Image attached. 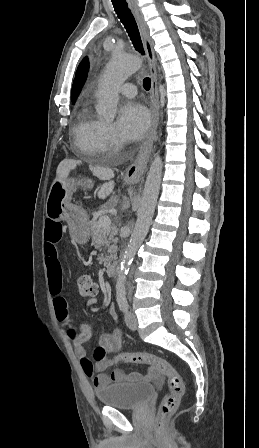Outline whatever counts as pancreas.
<instances>
[{
  "label": "pancreas",
  "instance_id": "obj_1",
  "mask_svg": "<svg viewBox=\"0 0 259 448\" xmlns=\"http://www.w3.org/2000/svg\"><path fill=\"white\" fill-rule=\"evenodd\" d=\"M90 226L92 228V242L95 244L97 250H100L101 252L105 246L107 252L110 254V256H106V258H104V254H100L97 258V260H100L101 264L104 262V266L108 268L110 262L117 260L118 248L116 246L117 238H115V236H117V230L116 228H106V230H103L96 220H92ZM111 242H114L113 246H110Z\"/></svg>",
  "mask_w": 259,
  "mask_h": 448
}]
</instances>
